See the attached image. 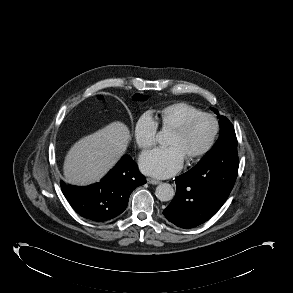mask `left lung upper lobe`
I'll use <instances>...</instances> for the list:
<instances>
[{
    "label": "left lung upper lobe",
    "mask_w": 293,
    "mask_h": 293,
    "mask_svg": "<svg viewBox=\"0 0 293 293\" xmlns=\"http://www.w3.org/2000/svg\"><path fill=\"white\" fill-rule=\"evenodd\" d=\"M215 114L218 115L220 124V136L205 156L196 165L212 167L218 164L226 163L237 154V138L232 123L224 116H220L217 109L210 108Z\"/></svg>",
    "instance_id": "obj_1"
}]
</instances>
